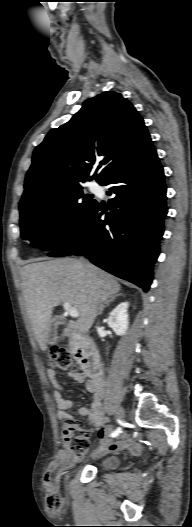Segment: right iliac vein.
I'll return each mask as SVG.
<instances>
[{"label":"right iliac vein","instance_id":"1","mask_svg":"<svg viewBox=\"0 0 192 527\" xmlns=\"http://www.w3.org/2000/svg\"><path fill=\"white\" fill-rule=\"evenodd\" d=\"M124 415H125L124 410H123L122 408H119V409L117 410V417H118V419H119V420L123 419V418H124Z\"/></svg>","mask_w":192,"mask_h":527}]
</instances>
